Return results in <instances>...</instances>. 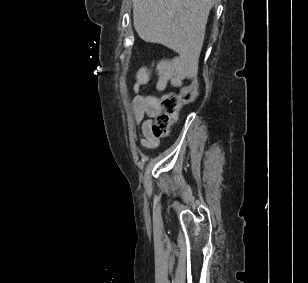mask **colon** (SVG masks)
Masks as SVG:
<instances>
[{
	"mask_svg": "<svg viewBox=\"0 0 308 283\" xmlns=\"http://www.w3.org/2000/svg\"><path fill=\"white\" fill-rule=\"evenodd\" d=\"M198 65L195 63V73L191 84L177 92H169L155 99L158 108L155 122L151 126L152 134L157 138L166 137L169 128L177 118L182 105L194 100L198 93Z\"/></svg>",
	"mask_w": 308,
	"mask_h": 283,
	"instance_id": "colon-1",
	"label": "colon"
}]
</instances>
